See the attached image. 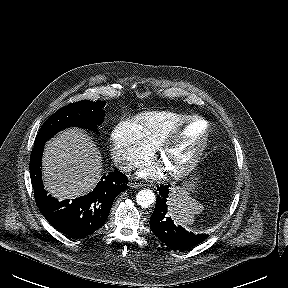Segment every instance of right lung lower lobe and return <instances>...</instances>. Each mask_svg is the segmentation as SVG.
Instances as JSON below:
<instances>
[{
	"mask_svg": "<svg viewBox=\"0 0 288 288\" xmlns=\"http://www.w3.org/2000/svg\"><path fill=\"white\" fill-rule=\"evenodd\" d=\"M44 143L34 145L30 157V176L36 204L47 221L72 238L86 237L107 220L116 196L127 189V177L118 170L101 177L89 194L72 201H58L47 195L41 178Z\"/></svg>",
	"mask_w": 288,
	"mask_h": 288,
	"instance_id": "right-lung-lower-lobe-1",
	"label": "right lung lower lobe"
}]
</instances>
